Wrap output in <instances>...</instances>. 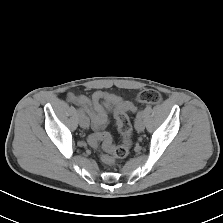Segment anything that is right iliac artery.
I'll use <instances>...</instances> for the list:
<instances>
[{"label": "right iliac artery", "mask_w": 223, "mask_h": 223, "mask_svg": "<svg viewBox=\"0 0 223 223\" xmlns=\"http://www.w3.org/2000/svg\"><path fill=\"white\" fill-rule=\"evenodd\" d=\"M79 113H80V114H83V111H82V109H79Z\"/></svg>", "instance_id": "1"}]
</instances>
